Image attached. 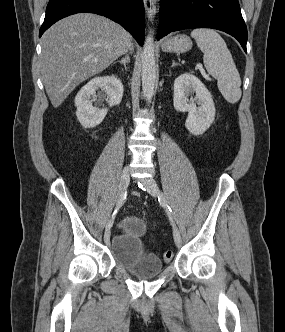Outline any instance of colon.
Listing matches in <instances>:
<instances>
[{"mask_svg": "<svg viewBox=\"0 0 285 332\" xmlns=\"http://www.w3.org/2000/svg\"><path fill=\"white\" fill-rule=\"evenodd\" d=\"M173 258V252L172 251H166L164 254H163V260L165 262H169L171 261Z\"/></svg>", "mask_w": 285, "mask_h": 332, "instance_id": "1", "label": "colon"}]
</instances>
